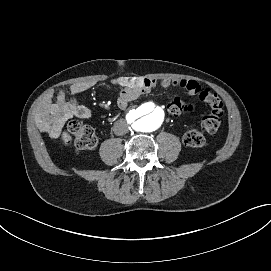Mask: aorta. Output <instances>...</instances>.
I'll use <instances>...</instances> for the list:
<instances>
[{
  "label": "aorta",
  "mask_w": 271,
  "mask_h": 271,
  "mask_svg": "<svg viewBox=\"0 0 271 271\" xmlns=\"http://www.w3.org/2000/svg\"><path fill=\"white\" fill-rule=\"evenodd\" d=\"M135 115L144 118L141 127L145 132L155 131L164 121V111L152 102L141 105Z\"/></svg>",
  "instance_id": "aorta-1"
}]
</instances>
